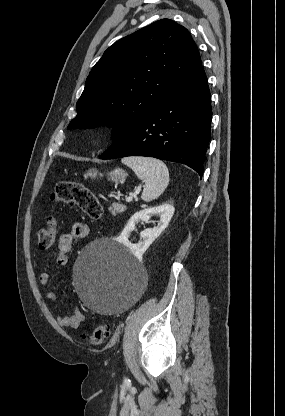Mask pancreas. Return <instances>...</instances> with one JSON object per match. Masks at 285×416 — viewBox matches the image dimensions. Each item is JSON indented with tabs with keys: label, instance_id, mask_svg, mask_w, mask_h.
<instances>
[{
	"label": "pancreas",
	"instance_id": "cf45deb5",
	"mask_svg": "<svg viewBox=\"0 0 285 416\" xmlns=\"http://www.w3.org/2000/svg\"><path fill=\"white\" fill-rule=\"evenodd\" d=\"M108 210L111 212L112 216H117V214H122V212H125L127 208L126 206H122V204H112Z\"/></svg>",
	"mask_w": 285,
	"mask_h": 416
}]
</instances>
